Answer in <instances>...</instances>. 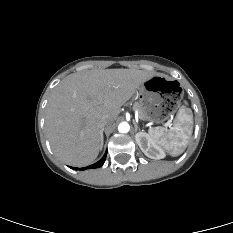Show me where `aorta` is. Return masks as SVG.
I'll use <instances>...</instances> for the list:
<instances>
[{"label": "aorta", "instance_id": "aorta-1", "mask_svg": "<svg viewBox=\"0 0 233 233\" xmlns=\"http://www.w3.org/2000/svg\"><path fill=\"white\" fill-rule=\"evenodd\" d=\"M129 130H130V126H129V124L127 122H122L118 126V131L120 133H128Z\"/></svg>", "mask_w": 233, "mask_h": 233}]
</instances>
